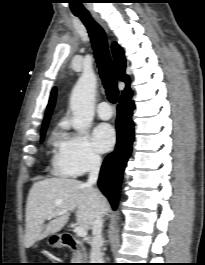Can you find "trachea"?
I'll return each mask as SVG.
<instances>
[{
  "mask_svg": "<svg viewBox=\"0 0 205 265\" xmlns=\"http://www.w3.org/2000/svg\"><path fill=\"white\" fill-rule=\"evenodd\" d=\"M76 16L81 19L88 30L106 95L108 100L114 104L118 99L119 91L115 69L108 51L106 34L90 14H77Z\"/></svg>",
  "mask_w": 205,
  "mask_h": 265,
  "instance_id": "1",
  "label": "trachea"
}]
</instances>
